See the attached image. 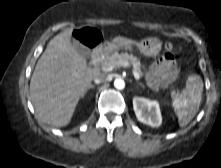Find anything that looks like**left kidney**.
I'll return each instance as SVG.
<instances>
[{
  "mask_svg": "<svg viewBox=\"0 0 221 168\" xmlns=\"http://www.w3.org/2000/svg\"><path fill=\"white\" fill-rule=\"evenodd\" d=\"M133 108L137 119L151 127H159L162 116L158 101H152L143 97L133 98Z\"/></svg>",
  "mask_w": 221,
  "mask_h": 168,
  "instance_id": "obj_1",
  "label": "left kidney"
}]
</instances>
